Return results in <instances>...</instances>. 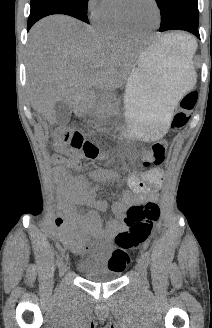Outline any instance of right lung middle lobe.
<instances>
[{
    "label": "right lung middle lobe",
    "instance_id": "1",
    "mask_svg": "<svg viewBox=\"0 0 212 328\" xmlns=\"http://www.w3.org/2000/svg\"><path fill=\"white\" fill-rule=\"evenodd\" d=\"M38 3H53V4H65L76 9L88 22L86 7L88 6V0H31V6Z\"/></svg>",
    "mask_w": 212,
    "mask_h": 328
}]
</instances>
